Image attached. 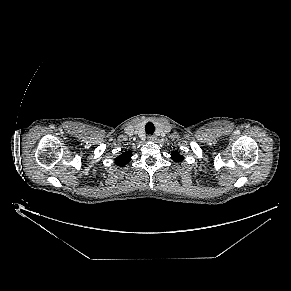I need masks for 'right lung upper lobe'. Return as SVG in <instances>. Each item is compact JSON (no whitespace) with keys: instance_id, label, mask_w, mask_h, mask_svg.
I'll return each instance as SVG.
<instances>
[{"instance_id":"right-lung-upper-lobe-1","label":"right lung upper lobe","mask_w":291,"mask_h":291,"mask_svg":"<svg viewBox=\"0 0 291 291\" xmlns=\"http://www.w3.org/2000/svg\"><path fill=\"white\" fill-rule=\"evenodd\" d=\"M132 152H123L120 156L115 159V164L118 166H124L131 161Z\"/></svg>"}]
</instances>
